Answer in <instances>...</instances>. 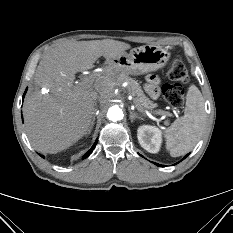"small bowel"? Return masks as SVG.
<instances>
[{"mask_svg": "<svg viewBox=\"0 0 233 233\" xmlns=\"http://www.w3.org/2000/svg\"><path fill=\"white\" fill-rule=\"evenodd\" d=\"M158 84L159 81L155 76H149L147 78L145 90L154 99L157 98L159 95Z\"/></svg>", "mask_w": 233, "mask_h": 233, "instance_id": "small-bowel-1", "label": "small bowel"}]
</instances>
